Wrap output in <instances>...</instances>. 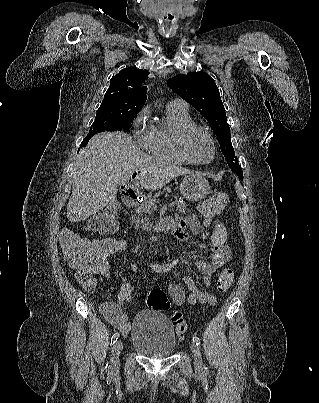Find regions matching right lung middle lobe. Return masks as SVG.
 <instances>
[{"label": "right lung middle lobe", "mask_w": 319, "mask_h": 403, "mask_svg": "<svg viewBox=\"0 0 319 403\" xmlns=\"http://www.w3.org/2000/svg\"><path fill=\"white\" fill-rule=\"evenodd\" d=\"M140 109L122 104H101L90 132L129 129Z\"/></svg>", "instance_id": "obj_1"}]
</instances>
